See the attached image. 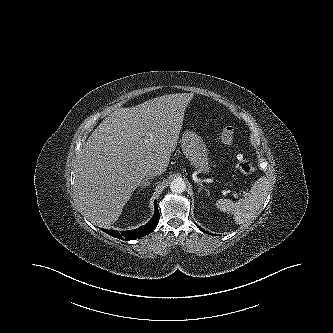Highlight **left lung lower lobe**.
<instances>
[{
    "label": "left lung lower lobe",
    "mask_w": 333,
    "mask_h": 333,
    "mask_svg": "<svg viewBox=\"0 0 333 333\" xmlns=\"http://www.w3.org/2000/svg\"><path fill=\"white\" fill-rule=\"evenodd\" d=\"M199 229H200L201 231L205 232V233H208V232H206L205 230H203L201 227H199Z\"/></svg>",
    "instance_id": "1"
}]
</instances>
